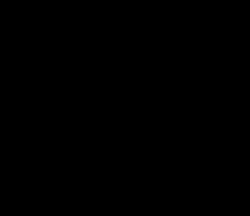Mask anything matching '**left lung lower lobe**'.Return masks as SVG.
Segmentation results:
<instances>
[{
	"mask_svg": "<svg viewBox=\"0 0 250 216\" xmlns=\"http://www.w3.org/2000/svg\"><path fill=\"white\" fill-rule=\"evenodd\" d=\"M141 115L149 159L163 170H179L194 162L210 140L212 118L196 112L166 114L155 106Z\"/></svg>",
	"mask_w": 250,
	"mask_h": 216,
	"instance_id": "obj_1",
	"label": "left lung lower lobe"
}]
</instances>
